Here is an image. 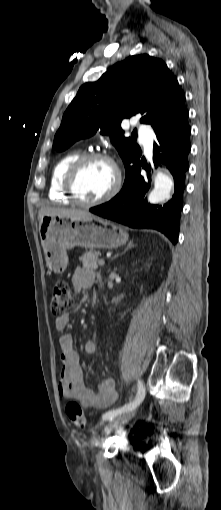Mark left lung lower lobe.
Segmentation results:
<instances>
[{
  "label": "left lung lower lobe",
  "instance_id": "obj_1",
  "mask_svg": "<svg viewBox=\"0 0 221 510\" xmlns=\"http://www.w3.org/2000/svg\"><path fill=\"white\" fill-rule=\"evenodd\" d=\"M187 118L188 116L155 131L157 139L153 146V164L155 167H167L173 175L175 193L170 201L158 206L148 204L144 199L150 188L151 176H141V168L149 172V167L140 160L126 174L120 193L111 201L91 208L90 212L132 228L158 230L173 244L177 243L185 173L189 168L187 156L191 149V128Z\"/></svg>",
  "mask_w": 221,
  "mask_h": 510
}]
</instances>
